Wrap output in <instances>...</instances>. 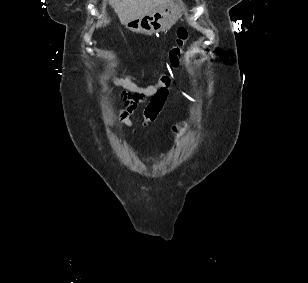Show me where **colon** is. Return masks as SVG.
I'll use <instances>...</instances> for the list:
<instances>
[{
    "instance_id": "5ec220e1",
    "label": "colon",
    "mask_w": 308,
    "mask_h": 283,
    "mask_svg": "<svg viewBox=\"0 0 308 283\" xmlns=\"http://www.w3.org/2000/svg\"><path fill=\"white\" fill-rule=\"evenodd\" d=\"M188 39H189L188 30L183 27L179 28L176 33V43L169 53V61L172 66H176L179 64L181 54L187 44ZM160 81L165 84H170V78L166 75L162 76L160 78ZM182 131L183 129L179 125L173 127V133L177 137L181 135Z\"/></svg>"
}]
</instances>
